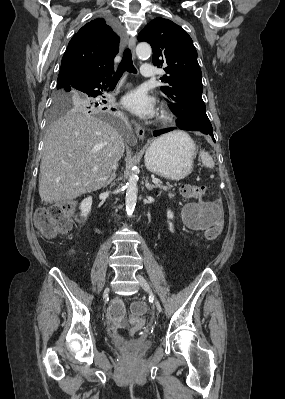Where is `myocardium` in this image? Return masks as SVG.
Wrapping results in <instances>:
<instances>
[{"mask_svg": "<svg viewBox=\"0 0 285 399\" xmlns=\"http://www.w3.org/2000/svg\"><path fill=\"white\" fill-rule=\"evenodd\" d=\"M173 119V112L167 105H162L158 114V121L161 124H168Z\"/></svg>", "mask_w": 285, "mask_h": 399, "instance_id": "obj_1", "label": "myocardium"}]
</instances>
